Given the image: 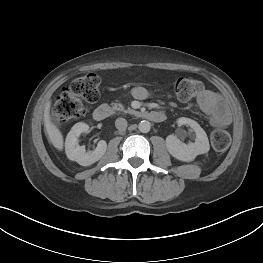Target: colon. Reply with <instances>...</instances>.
Here are the masks:
<instances>
[{"mask_svg":"<svg viewBox=\"0 0 263 263\" xmlns=\"http://www.w3.org/2000/svg\"><path fill=\"white\" fill-rule=\"evenodd\" d=\"M100 79L90 73L75 79L59 94L52 109V121L63 125L79 118L83 111V101L94 103L99 98ZM203 90L202 83L194 78H179L174 83V91L179 100L186 102L198 96ZM231 142L230 134L216 129L211 135V144L216 151L226 150Z\"/></svg>","mask_w":263,"mask_h":263,"instance_id":"5ec220e1","label":"colon"}]
</instances>
